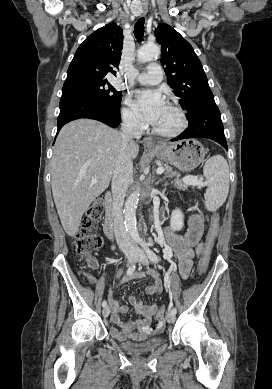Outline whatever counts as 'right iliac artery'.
Wrapping results in <instances>:
<instances>
[{"label": "right iliac artery", "instance_id": "obj_1", "mask_svg": "<svg viewBox=\"0 0 272 389\" xmlns=\"http://www.w3.org/2000/svg\"><path fill=\"white\" fill-rule=\"evenodd\" d=\"M135 269H136V262H134V263L128 268V270H127V272H126V275H125V277L123 278V280H125V281L130 280V279H131V276L133 275V273H134V271H135ZM102 306H103V307H106V306H107L106 300H104V301L102 302Z\"/></svg>", "mask_w": 272, "mask_h": 389}]
</instances>
